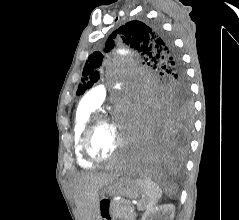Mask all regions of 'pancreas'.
<instances>
[{"mask_svg":"<svg viewBox=\"0 0 239 220\" xmlns=\"http://www.w3.org/2000/svg\"><path fill=\"white\" fill-rule=\"evenodd\" d=\"M110 215L114 219L135 220L136 213L133 206L126 201H114L110 204Z\"/></svg>","mask_w":239,"mask_h":220,"instance_id":"1","label":"pancreas"}]
</instances>
